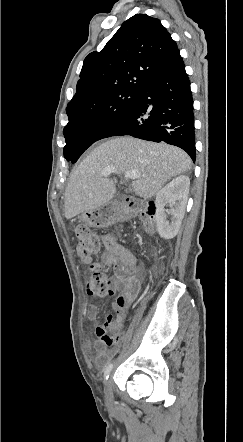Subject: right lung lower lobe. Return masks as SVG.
<instances>
[{"label": "right lung lower lobe", "mask_w": 243, "mask_h": 442, "mask_svg": "<svg viewBox=\"0 0 243 442\" xmlns=\"http://www.w3.org/2000/svg\"><path fill=\"white\" fill-rule=\"evenodd\" d=\"M116 135L166 142L195 160L192 92L179 52L147 79L129 111L103 138Z\"/></svg>", "instance_id": "1"}]
</instances>
